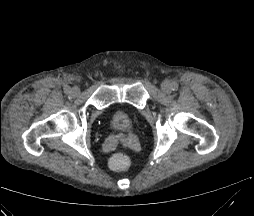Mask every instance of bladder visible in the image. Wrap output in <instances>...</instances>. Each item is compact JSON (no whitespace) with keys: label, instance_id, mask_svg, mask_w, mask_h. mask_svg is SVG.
Masks as SVG:
<instances>
[{"label":"bladder","instance_id":"31cf9c89","mask_svg":"<svg viewBox=\"0 0 254 216\" xmlns=\"http://www.w3.org/2000/svg\"><path fill=\"white\" fill-rule=\"evenodd\" d=\"M130 123V116L122 111L114 112V126L117 129H125Z\"/></svg>","mask_w":254,"mask_h":216}]
</instances>
